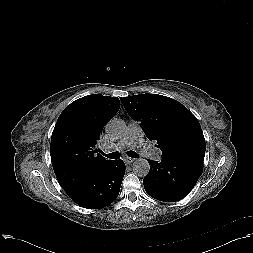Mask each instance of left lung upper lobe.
Returning <instances> with one entry per match:
<instances>
[{
    "instance_id": "1",
    "label": "left lung upper lobe",
    "mask_w": 253,
    "mask_h": 253,
    "mask_svg": "<svg viewBox=\"0 0 253 253\" xmlns=\"http://www.w3.org/2000/svg\"><path fill=\"white\" fill-rule=\"evenodd\" d=\"M129 116L140 122L149 140H155L162 156L204 159L206 144L197 118L178 101L143 94L120 98Z\"/></svg>"
}]
</instances>
